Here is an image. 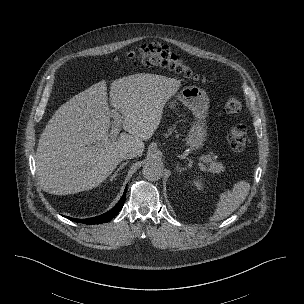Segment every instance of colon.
Here are the masks:
<instances>
[{
	"mask_svg": "<svg viewBox=\"0 0 304 304\" xmlns=\"http://www.w3.org/2000/svg\"><path fill=\"white\" fill-rule=\"evenodd\" d=\"M114 63H123L126 65H156L165 67L171 71L183 75L188 79L209 83L211 80L200 75L195 69L181 59L169 47L159 44H144L139 49L128 53L127 55L114 59ZM243 108L242 101L234 95L225 99L223 110L230 117H237ZM248 140L246 126L242 123L232 125L227 133V141L234 152H241L245 149Z\"/></svg>",
	"mask_w": 304,
	"mask_h": 304,
	"instance_id": "5ec220e1",
	"label": "colon"
}]
</instances>
